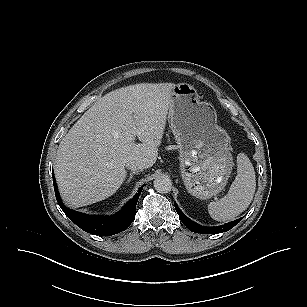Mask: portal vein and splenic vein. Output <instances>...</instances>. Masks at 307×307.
Instances as JSON below:
<instances>
[{
	"label": "portal vein and splenic vein",
	"mask_w": 307,
	"mask_h": 307,
	"mask_svg": "<svg viewBox=\"0 0 307 307\" xmlns=\"http://www.w3.org/2000/svg\"><path fill=\"white\" fill-rule=\"evenodd\" d=\"M135 136H136V132L133 131L132 134L130 135V140H134L135 139Z\"/></svg>",
	"instance_id": "18ae733b"
}]
</instances>
